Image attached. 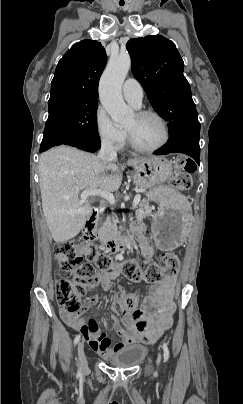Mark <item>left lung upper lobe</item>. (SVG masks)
Wrapping results in <instances>:
<instances>
[{
	"label": "left lung upper lobe",
	"instance_id": "1",
	"mask_svg": "<svg viewBox=\"0 0 243 404\" xmlns=\"http://www.w3.org/2000/svg\"><path fill=\"white\" fill-rule=\"evenodd\" d=\"M126 48L132 73L155 111L168 122L170 136L180 130H200L184 63L173 42L160 35L131 39Z\"/></svg>",
	"mask_w": 243,
	"mask_h": 404
}]
</instances>
